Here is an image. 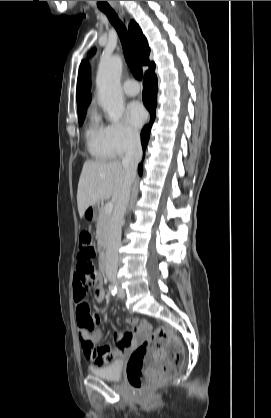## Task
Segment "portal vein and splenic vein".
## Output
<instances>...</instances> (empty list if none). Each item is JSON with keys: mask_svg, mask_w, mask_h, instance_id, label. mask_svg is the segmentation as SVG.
<instances>
[{"mask_svg": "<svg viewBox=\"0 0 271 418\" xmlns=\"http://www.w3.org/2000/svg\"><path fill=\"white\" fill-rule=\"evenodd\" d=\"M114 208V203L113 202H108L105 204L104 206V211L107 214H111Z\"/></svg>", "mask_w": 271, "mask_h": 418, "instance_id": "18ae733b", "label": "portal vein and splenic vein"}]
</instances>
